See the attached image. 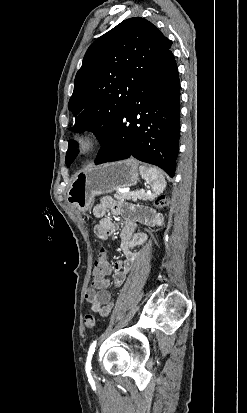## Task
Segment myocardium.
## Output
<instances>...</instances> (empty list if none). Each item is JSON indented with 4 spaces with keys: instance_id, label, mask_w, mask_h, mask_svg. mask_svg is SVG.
Returning <instances> with one entry per match:
<instances>
[{
    "instance_id": "myocardium-1",
    "label": "myocardium",
    "mask_w": 247,
    "mask_h": 413,
    "mask_svg": "<svg viewBox=\"0 0 247 413\" xmlns=\"http://www.w3.org/2000/svg\"><path fill=\"white\" fill-rule=\"evenodd\" d=\"M101 141L100 135L95 131H87L78 139V147L82 154L88 155L93 153Z\"/></svg>"
}]
</instances>
